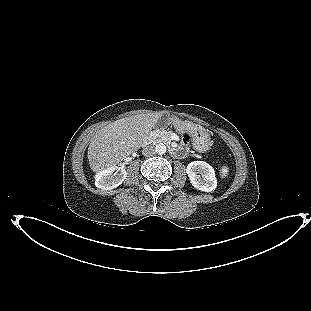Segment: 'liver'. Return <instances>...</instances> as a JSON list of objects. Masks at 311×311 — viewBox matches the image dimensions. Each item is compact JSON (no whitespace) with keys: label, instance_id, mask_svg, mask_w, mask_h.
I'll use <instances>...</instances> for the list:
<instances>
[{"label":"liver","instance_id":"liver-1","mask_svg":"<svg viewBox=\"0 0 311 311\" xmlns=\"http://www.w3.org/2000/svg\"><path fill=\"white\" fill-rule=\"evenodd\" d=\"M161 113H146L116 120L100 129L88 148V160L93 172L115 166L141 147L156 126Z\"/></svg>","mask_w":311,"mask_h":311}]
</instances>
